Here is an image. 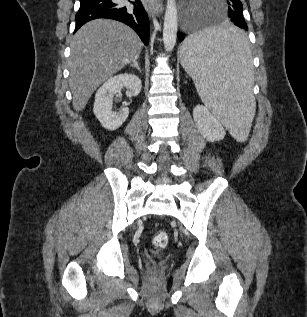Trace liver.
<instances>
[{
    "mask_svg": "<svg viewBox=\"0 0 307 317\" xmlns=\"http://www.w3.org/2000/svg\"><path fill=\"white\" fill-rule=\"evenodd\" d=\"M70 47L69 87L79 112L99 85L138 58L142 42L127 25L96 19L76 32Z\"/></svg>",
    "mask_w": 307,
    "mask_h": 317,
    "instance_id": "obj_1",
    "label": "liver"
}]
</instances>
